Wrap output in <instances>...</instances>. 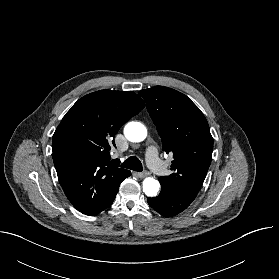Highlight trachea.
I'll use <instances>...</instances> for the list:
<instances>
[{"mask_svg": "<svg viewBox=\"0 0 279 279\" xmlns=\"http://www.w3.org/2000/svg\"><path fill=\"white\" fill-rule=\"evenodd\" d=\"M120 166L137 172H141L143 170L142 163L136 156L129 157Z\"/></svg>", "mask_w": 279, "mask_h": 279, "instance_id": "trachea-1", "label": "trachea"}]
</instances>
